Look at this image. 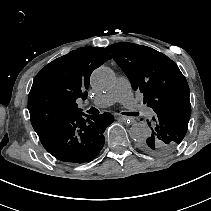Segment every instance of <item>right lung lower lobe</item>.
<instances>
[{
    "mask_svg": "<svg viewBox=\"0 0 211 211\" xmlns=\"http://www.w3.org/2000/svg\"><path fill=\"white\" fill-rule=\"evenodd\" d=\"M114 121L113 115H86L82 112L35 129L43 147L67 164L93 160L105 143L104 131Z\"/></svg>",
    "mask_w": 211,
    "mask_h": 211,
    "instance_id": "98d812e1",
    "label": "right lung lower lobe"
}]
</instances>
